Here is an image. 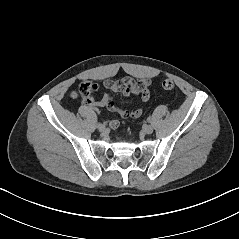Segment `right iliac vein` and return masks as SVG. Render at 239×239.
Segmentation results:
<instances>
[{
  "instance_id": "63e3f726",
  "label": "right iliac vein",
  "mask_w": 239,
  "mask_h": 239,
  "mask_svg": "<svg viewBox=\"0 0 239 239\" xmlns=\"http://www.w3.org/2000/svg\"><path fill=\"white\" fill-rule=\"evenodd\" d=\"M98 130L100 132H104L106 130V127L104 125H101V126L98 127Z\"/></svg>"
}]
</instances>
